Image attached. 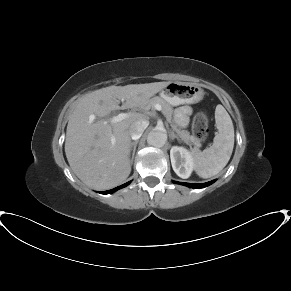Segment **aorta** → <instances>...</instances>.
Returning a JSON list of instances; mask_svg holds the SVG:
<instances>
[{"mask_svg": "<svg viewBox=\"0 0 291 291\" xmlns=\"http://www.w3.org/2000/svg\"><path fill=\"white\" fill-rule=\"evenodd\" d=\"M167 141V133L163 128H155L149 132L147 143L154 147H162Z\"/></svg>", "mask_w": 291, "mask_h": 291, "instance_id": "762f6f07", "label": "aorta"}]
</instances>
